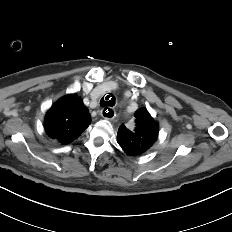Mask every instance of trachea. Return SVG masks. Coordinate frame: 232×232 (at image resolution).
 <instances>
[{
    "instance_id": "1",
    "label": "trachea",
    "mask_w": 232,
    "mask_h": 232,
    "mask_svg": "<svg viewBox=\"0 0 232 232\" xmlns=\"http://www.w3.org/2000/svg\"><path fill=\"white\" fill-rule=\"evenodd\" d=\"M100 105L105 106H114L115 105V97L113 94L109 93V95L103 96V98L100 100Z\"/></svg>"
}]
</instances>
